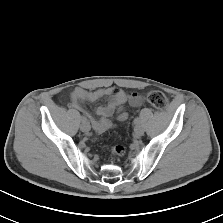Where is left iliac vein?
<instances>
[{
  "label": "left iliac vein",
  "mask_w": 223,
  "mask_h": 223,
  "mask_svg": "<svg viewBox=\"0 0 223 223\" xmlns=\"http://www.w3.org/2000/svg\"><path fill=\"white\" fill-rule=\"evenodd\" d=\"M144 134V129L141 125H136L134 128V135L136 137H141Z\"/></svg>",
  "instance_id": "1"
}]
</instances>
